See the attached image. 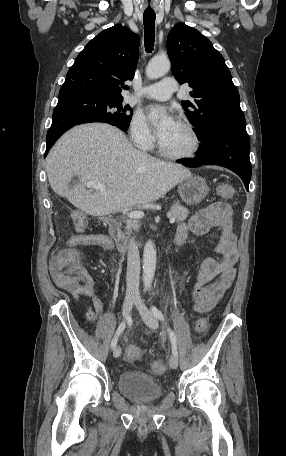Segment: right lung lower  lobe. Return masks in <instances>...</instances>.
<instances>
[{
  "label": "right lung lower lobe",
  "instance_id": "98d812e1",
  "mask_svg": "<svg viewBox=\"0 0 286 456\" xmlns=\"http://www.w3.org/2000/svg\"><path fill=\"white\" fill-rule=\"evenodd\" d=\"M99 98L91 92L77 87H61L59 101L54 109L52 125L47 132L45 156L55 141L71 127L95 122L92 119V107Z\"/></svg>",
  "mask_w": 286,
  "mask_h": 456
}]
</instances>
